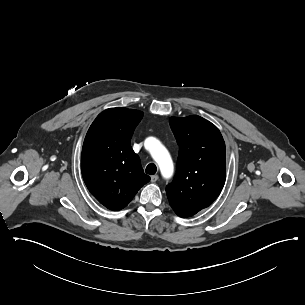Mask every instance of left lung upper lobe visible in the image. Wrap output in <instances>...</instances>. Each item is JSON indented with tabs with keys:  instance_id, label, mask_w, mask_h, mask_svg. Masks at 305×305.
Wrapping results in <instances>:
<instances>
[{
	"instance_id": "5c2ea615",
	"label": "left lung upper lobe",
	"mask_w": 305,
	"mask_h": 305,
	"mask_svg": "<svg viewBox=\"0 0 305 305\" xmlns=\"http://www.w3.org/2000/svg\"><path fill=\"white\" fill-rule=\"evenodd\" d=\"M170 126L179 156L166 193L175 213L185 218L210 206L222 191L226 179L225 143L218 128L197 115L171 117Z\"/></svg>"
}]
</instances>
